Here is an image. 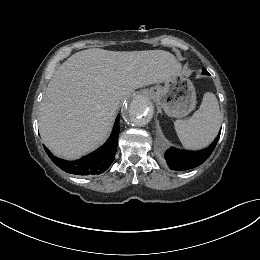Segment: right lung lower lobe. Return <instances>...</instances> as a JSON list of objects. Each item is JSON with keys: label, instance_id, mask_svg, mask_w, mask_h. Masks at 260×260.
<instances>
[{"label": "right lung lower lobe", "instance_id": "obj_1", "mask_svg": "<svg viewBox=\"0 0 260 260\" xmlns=\"http://www.w3.org/2000/svg\"><path fill=\"white\" fill-rule=\"evenodd\" d=\"M119 120L120 116L118 115L112 133L103 146L76 161H65L59 159L44 146L45 151L53 163L67 173L76 175L101 174L109 168L114 160L120 131Z\"/></svg>", "mask_w": 260, "mask_h": 260}]
</instances>
